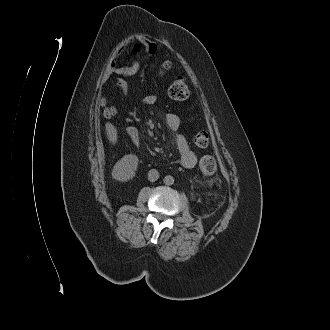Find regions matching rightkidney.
I'll return each mask as SVG.
<instances>
[{
    "label": "right kidney",
    "mask_w": 330,
    "mask_h": 330,
    "mask_svg": "<svg viewBox=\"0 0 330 330\" xmlns=\"http://www.w3.org/2000/svg\"><path fill=\"white\" fill-rule=\"evenodd\" d=\"M138 166V157L135 155H126L119 160L113 167L112 177L121 182H126L135 176Z\"/></svg>",
    "instance_id": "1"
}]
</instances>
